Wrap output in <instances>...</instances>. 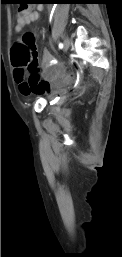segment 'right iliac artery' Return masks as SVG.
Masks as SVG:
<instances>
[{"instance_id":"1","label":"right iliac artery","mask_w":122,"mask_h":257,"mask_svg":"<svg viewBox=\"0 0 122 257\" xmlns=\"http://www.w3.org/2000/svg\"><path fill=\"white\" fill-rule=\"evenodd\" d=\"M59 48H60V49L63 48V44H62V43L59 44Z\"/></svg>"}]
</instances>
